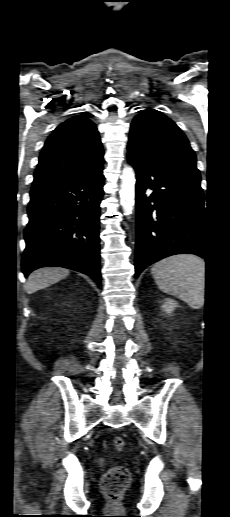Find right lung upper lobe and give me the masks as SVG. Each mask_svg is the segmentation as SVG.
<instances>
[{
	"label": "right lung upper lobe",
	"instance_id": "1",
	"mask_svg": "<svg viewBox=\"0 0 230 517\" xmlns=\"http://www.w3.org/2000/svg\"><path fill=\"white\" fill-rule=\"evenodd\" d=\"M103 165V148L96 125L76 116L48 137L39 157L32 189H42L89 175Z\"/></svg>",
	"mask_w": 230,
	"mask_h": 517
}]
</instances>
